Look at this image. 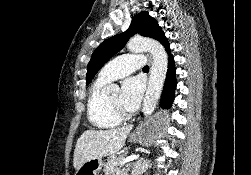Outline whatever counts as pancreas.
I'll use <instances>...</instances> for the list:
<instances>
[{
	"label": "pancreas",
	"instance_id": "pancreas-1",
	"mask_svg": "<svg viewBox=\"0 0 251 175\" xmlns=\"http://www.w3.org/2000/svg\"><path fill=\"white\" fill-rule=\"evenodd\" d=\"M123 159H125L123 155H119V157H113V159H109L103 169L104 175H128L126 171L127 169H129V163H121ZM122 165H126V167H122Z\"/></svg>",
	"mask_w": 251,
	"mask_h": 175
}]
</instances>
